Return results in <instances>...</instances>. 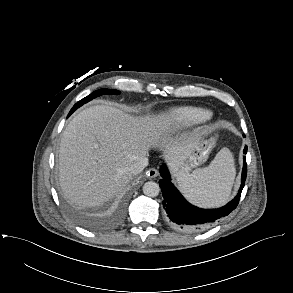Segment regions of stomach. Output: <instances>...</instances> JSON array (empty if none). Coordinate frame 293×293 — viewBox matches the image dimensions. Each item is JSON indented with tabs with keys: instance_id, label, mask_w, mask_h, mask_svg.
<instances>
[{
	"instance_id": "obj_1",
	"label": "stomach",
	"mask_w": 293,
	"mask_h": 293,
	"mask_svg": "<svg viewBox=\"0 0 293 293\" xmlns=\"http://www.w3.org/2000/svg\"><path fill=\"white\" fill-rule=\"evenodd\" d=\"M212 145L213 140L201 141L180 166L178 170V176L189 174L192 169L203 164L208 158Z\"/></svg>"
}]
</instances>
